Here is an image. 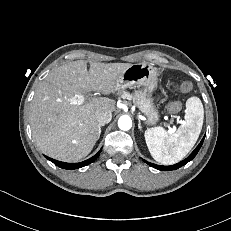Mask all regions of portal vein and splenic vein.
<instances>
[{"label": "portal vein and splenic vein", "mask_w": 231, "mask_h": 231, "mask_svg": "<svg viewBox=\"0 0 231 231\" xmlns=\"http://www.w3.org/2000/svg\"><path fill=\"white\" fill-rule=\"evenodd\" d=\"M86 100V97L83 95H75L70 99L72 104H82ZM175 130V127L171 128L169 132H173Z\"/></svg>", "instance_id": "portal-vein-and-splenic-vein-1"}]
</instances>
